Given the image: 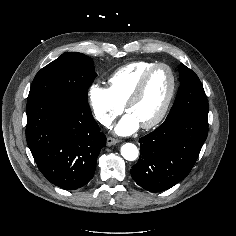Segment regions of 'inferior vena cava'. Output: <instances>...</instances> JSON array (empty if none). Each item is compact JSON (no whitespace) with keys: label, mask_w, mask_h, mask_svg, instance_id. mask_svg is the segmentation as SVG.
Here are the masks:
<instances>
[{"label":"inferior vena cava","mask_w":236,"mask_h":236,"mask_svg":"<svg viewBox=\"0 0 236 236\" xmlns=\"http://www.w3.org/2000/svg\"><path fill=\"white\" fill-rule=\"evenodd\" d=\"M98 121L103 124L104 126L108 127L111 125L112 123V120L110 117L106 116V115H102V116H99L98 117Z\"/></svg>","instance_id":"obj_1"}]
</instances>
